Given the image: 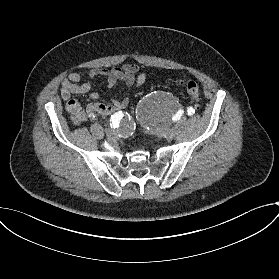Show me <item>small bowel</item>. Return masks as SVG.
<instances>
[{
	"instance_id": "1",
	"label": "small bowel",
	"mask_w": 279,
	"mask_h": 279,
	"mask_svg": "<svg viewBox=\"0 0 279 279\" xmlns=\"http://www.w3.org/2000/svg\"><path fill=\"white\" fill-rule=\"evenodd\" d=\"M96 77H105L109 88L114 87L118 82H122L127 86H132L135 83L137 86H140L146 81V75L140 72V68L136 64H125L122 67L112 69H91L89 71L90 80ZM60 94L66 101V109L72 121L77 125L89 121L97 115H109L113 112L124 110L130 104V98L128 96L122 99L112 100L110 103L96 102L99 94L92 90L90 81L81 83V75L77 72L70 73L62 81ZM73 95H87L94 102L82 108L80 103L73 98Z\"/></svg>"
}]
</instances>
